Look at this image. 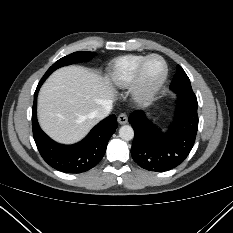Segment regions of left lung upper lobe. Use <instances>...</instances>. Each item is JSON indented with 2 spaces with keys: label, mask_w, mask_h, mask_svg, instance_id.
I'll list each match as a JSON object with an SVG mask.
<instances>
[{
  "label": "left lung upper lobe",
  "mask_w": 233,
  "mask_h": 233,
  "mask_svg": "<svg viewBox=\"0 0 233 233\" xmlns=\"http://www.w3.org/2000/svg\"><path fill=\"white\" fill-rule=\"evenodd\" d=\"M170 88L176 93H194L190 80L180 65H177V72L171 82Z\"/></svg>",
  "instance_id": "1"
}]
</instances>
